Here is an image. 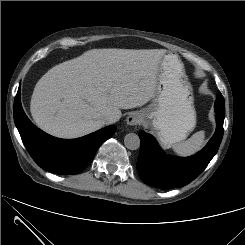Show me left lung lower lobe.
Wrapping results in <instances>:
<instances>
[{"mask_svg":"<svg viewBox=\"0 0 245 245\" xmlns=\"http://www.w3.org/2000/svg\"><path fill=\"white\" fill-rule=\"evenodd\" d=\"M214 108L216 132L205 148L190 157L180 158L166 155L151 135L139 132L141 148L136 166L140 177L146 184L161 189L182 187L202 173L217 153L223 137L225 106L220 92L217 94Z\"/></svg>","mask_w":245,"mask_h":245,"instance_id":"obj_1","label":"left lung lower lobe"}]
</instances>
